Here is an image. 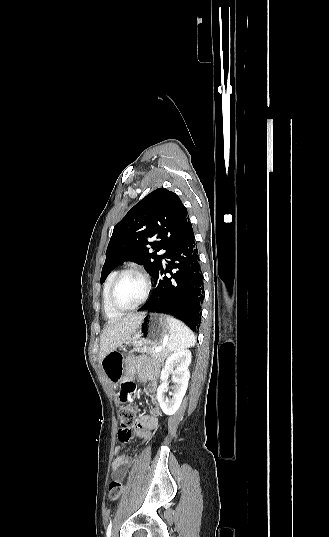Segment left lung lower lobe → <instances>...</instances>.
I'll list each match as a JSON object with an SVG mask.
<instances>
[{
  "label": "left lung lower lobe",
  "mask_w": 329,
  "mask_h": 537,
  "mask_svg": "<svg viewBox=\"0 0 329 537\" xmlns=\"http://www.w3.org/2000/svg\"><path fill=\"white\" fill-rule=\"evenodd\" d=\"M164 258L169 260L165 266L161 262L154 273L152 295L142 311L174 315L198 332L203 278L191 223Z\"/></svg>",
  "instance_id": "obj_1"
}]
</instances>
